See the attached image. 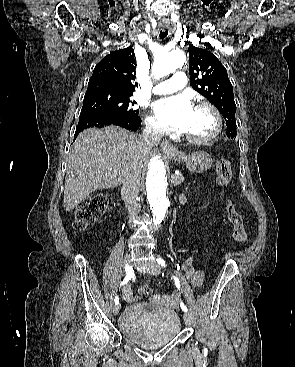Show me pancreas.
Instances as JSON below:
<instances>
[{
	"instance_id": "pancreas-1",
	"label": "pancreas",
	"mask_w": 295,
	"mask_h": 367,
	"mask_svg": "<svg viewBox=\"0 0 295 367\" xmlns=\"http://www.w3.org/2000/svg\"><path fill=\"white\" fill-rule=\"evenodd\" d=\"M173 176L174 177H172V183H173L174 186H177V185L181 184L184 181V177L181 173L175 174Z\"/></svg>"
}]
</instances>
